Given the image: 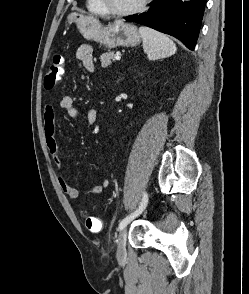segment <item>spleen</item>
Masks as SVG:
<instances>
[{"label": "spleen", "mask_w": 249, "mask_h": 294, "mask_svg": "<svg viewBox=\"0 0 249 294\" xmlns=\"http://www.w3.org/2000/svg\"><path fill=\"white\" fill-rule=\"evenodd\" d=\"M139 33L149 60L154 61L175 54L176 45L167 35L145 26L139 28Z\"/></svg>", "instance_id": "3e777b00"}]
</instances>
